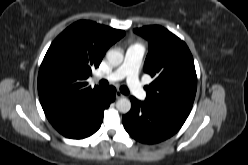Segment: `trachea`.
<instances>
[{
    "mask_svg": "<svg viewBox=\"0 0 248 165\" xmlns=\"http://www.w3.org/2000/svg\"><path fill=\"white\" fill-rule=\"evenodd\" d=\"M99 85H100L101 87H107V86L109 85V83H108V81H106V80H100V81H99ZM120 91H121L123 94H125V95L129 94V90H128V88H127L126 86H121V87H120Z\"/></svg>",
    "mask_w": 248,
    "mask_h": 165,
    "instance_id": "trachea-1",
    "label": "trachea"
}]
</instances>
